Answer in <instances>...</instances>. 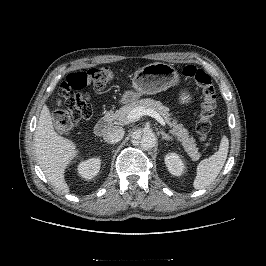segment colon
Returning a JSON list of instances; mask_svg holds the SVG:
<instances>
[{
  "label": "colon",
  "instance_id": "5ec220e1",
  "mask_svg": "<svg viewBox=\"0 0 266 266\" xmlns=\"http://www.w3.org/2000/svg\"><path fill=\"white\" fill-rule=\"evenodd\" d=\"M186 79L194 82L201 92L200 119L196 130L201 142H206L215 114L216 95L209 75L193 65L183 68ZM114 73L106 66L70 74L59 88V103L64 105L55 113L56 128L60 131L74 128L81 121L93 116L91 96L86 90L89 83L97 89L107 88L113 81Z\"/></svg>",
  "mask_w": 266,
  "mask_h": 266
}]
</instances>
